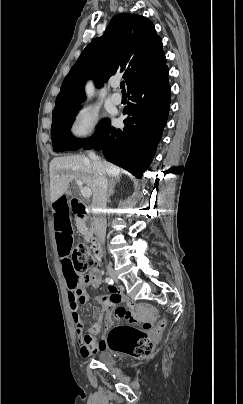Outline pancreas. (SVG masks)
Segmentation results:
<instances>
[{"label":"pancreas","mask_w":243,"mask_h":404,"mask_svg":"<svg viewBox=\"0 0 243 404\" xmlns=\"http://www.w3.org/2000/svg\"><path fill=\"white\" fill-rule=\"evenodd\" d=\"M76 226L77 230H79L82 236H84V240H86V242H89V240H91L92 238V232H88L87 228H85L84 222H82V220H76Z\"/></svg>","instance_id":"1"}]
</instances>
